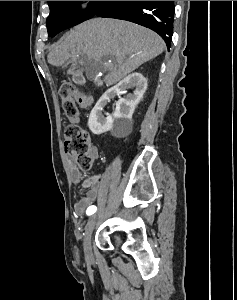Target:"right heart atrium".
<instances>
[{
	"mask_svg": "<svg viewBox=\"0 0 237 300\" xmlns=\"http://www.w3.org/2000/svg\"><path fill=\"white\" fill-rule=\"evenodd\" d=\"M76 6L79 10L85 11L87 9V3L86 1H77Z\"/></svg>",
	"mask_w": 237,
	"mask_h": 300,
	"instance_id": "d8ad5b80",
	"label": "right heart atrium"
}]
</instances>
